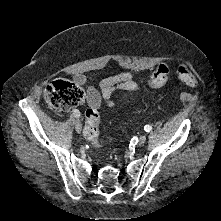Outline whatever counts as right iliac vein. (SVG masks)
Segmentation results:
<instances>
[{"mask_svg": "<svg viewBox=\"0 0 221 221\" xmlns=\"http://www.w3.org/2000/svg\"><path fill=\"white\" fill-rule=\"evenodd\" d=\"M75 129L78 133H80L82 130V124L79 119L75 120Z\"/></svg>", "mask_w": 221, "mask_h": 221, "instance_id": "obj_1", "label": "right iliac vein"}]
</instances>
